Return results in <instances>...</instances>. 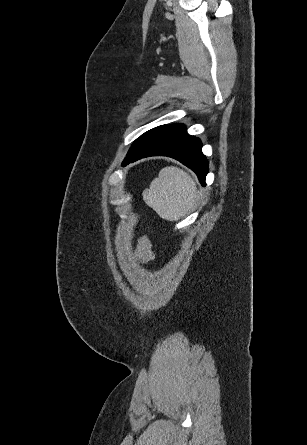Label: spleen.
<instances>
[{
	"label": "spleen",
	"mask_w": 307,
	"mask_h": 445,
	"mask_svg": "<svg viewBox=\"0 0 307 445\" xmlns=\"http://www.w3.org/2000/svg\"><path fill=\"white\" fill-rule=\"evenodd\" d=\"M142 194L144 202L165 220H179L190 214L199 200L194 178L178 166L161 168L158 178Z\"/></svg>",
	"instance_id": "1"
}]
</instances>
